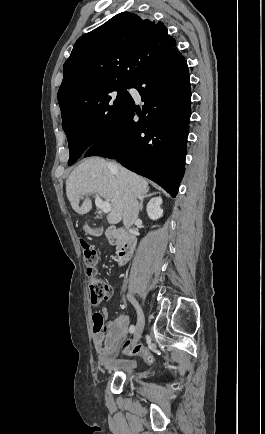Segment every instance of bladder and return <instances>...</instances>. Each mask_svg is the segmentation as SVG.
<instances>
[{
  "instance_id": "bladder-1",
  "label": "bladder",
  "mask_w": 265,
  "mask_h": 434,
  "mask_svg": "<svg viewBox=\"0 0 265 434\" xmlns=\"http://www.w3.org/2000/svg\"><path fill=\"white\" fill-rule=\"evenodd\" d=\"M117 369L126 375H132L138 369V364L136 362H124L118 365Z\"/></svg>"
}]
</instances>
